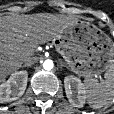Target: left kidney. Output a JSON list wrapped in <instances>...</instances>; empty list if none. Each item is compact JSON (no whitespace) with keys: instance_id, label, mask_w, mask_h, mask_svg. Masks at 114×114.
Instances as JSON below:
<instances>
[{"instance_id":"left-kidney-1","label":"left kidney","mask_w":114,"mask_h":114,"mask_svg":"<svg viewBox=\"0 0 114 114\" xmlns=\"http://www.w3.org/2000/svg\"><path fill=\"white\" fill-rule=\"evenodd\" d=\"M64 86L69 102L74 107H83L86 99V90L81 80L73 75L67 76L64 78Z\"/></svg>"}]
</instances>
